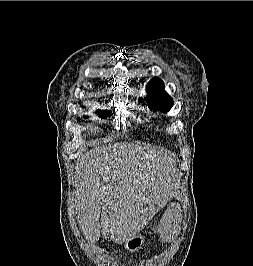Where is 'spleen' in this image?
<instances>
[{"instance_id":"obj_1","label":"spleen","mask_w":253,"mask_h":266,"mask_svg":"<svg viewBox=\"0 0 253 266\" xmlns=\"http://www.w3.org/2000/svg\"><path fill=\"white\" fill-rule=\"evenodd\" d=\"M160 235H164L166 242H173L179 232V218L176 210H169L167 215H162L159 223Z\"/></svg>"}]
</instances>
